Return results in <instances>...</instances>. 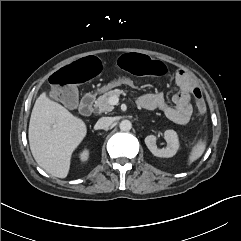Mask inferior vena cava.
Returning <instances> with one entry per match:
<instances>
[{"label":"inferior vena cava","instance_id":"obj_1","mask_svg":"<svg viewBox=\"0 0 241 241\" xmlns=\"http://www.w3.org/2000/svg\"><path fill=\"white\" fill-rule=\"evenodd\" d=\"M112 118L111 117H101L97 123H96V127L98 129H105L107 127H109L112 124Z\"/></svg>","mask_w":241,"mask_h":241}]
</instances>
